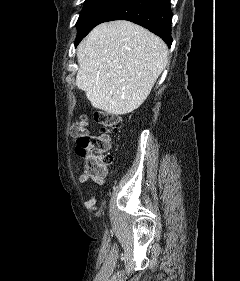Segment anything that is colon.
Returning <instances> with one entry per match:
<instances>
[{"instance_id":"obj_1","label":"colon","mask_w":240,"mask_h":281,"mask_svg":"<svg viewBox=\"0 0 240 281\" xmlns=\"http://www.w3.org/2000/svg\"><path fill=\"white\" fill-rule=\"evenodd\" d=\"M95 120L101 126V132L91 134L86 129V118L82 117L71 128V137L77 155L85 159L83 171L92 175H102L112 157L109 154L111 134L116 131L119 117L112 113L97 112Z\"/></svg>"}]
</instances>
